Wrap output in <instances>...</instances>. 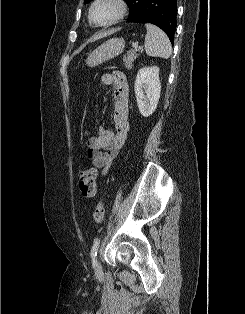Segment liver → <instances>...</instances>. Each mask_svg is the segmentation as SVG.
I'll list each match as a JSON object with an SVG mask.
<instances>
[{"mask_svg":"<svg viewBox=\"0 0 245 314\" xmlns=\"http://www.w3.org/2000/svg\"><path fill=\"white\" fill-rule=\"evenodd\" d=\"M111 32L108 31V32H103V33H100L99 35H97L93 40H97V39H100V38H103V37H106L108 35H110Z\"/></svg>","mask_w":245,"mask_h":314,"instance_id":"obj_1","label":"liver"}]
</instances>
